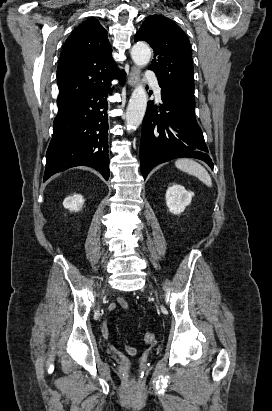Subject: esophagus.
<instances>
[{
    "label": "esophagus",
    "mask_w": 272,
    "mask_h": 411,
    "mask_svg": "<svg viewBox=\"0 0 272 411\" xmlns=\"http://www.w3.org/2000/svg\"><path fill=\"white\" fill-rule=\"evenodd\" d=\"M139 79V70L136 67H132L129 78H128V85L134 87Z\"/></svg>",
    "instance_id": "34e87169"
}]
</instances>
